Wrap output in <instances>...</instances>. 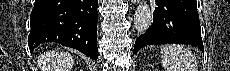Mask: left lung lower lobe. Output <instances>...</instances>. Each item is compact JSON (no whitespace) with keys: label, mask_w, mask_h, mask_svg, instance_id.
I'll return each mask as SVG.
<instances>
[{"label":"left lung lower lobe","mask_w":230,"mask_h":71,"mask_svg":"<svg viewBox=\"0 0 230 71\" xmlns=\"http://www.w3.org/2000/svg\"><path fill=\"white\" fill-rule=\"evenodd\" d=\"M153 24L140 35L133 54L147 45L191 44L204 52L196 0H156Z\"/></svg>","instance_id":"0a47b994"}]
</instances>
